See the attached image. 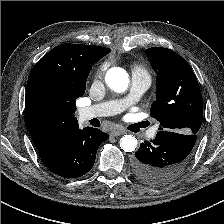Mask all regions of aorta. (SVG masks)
<instances>
[{"label":"aorta","mask_w":224,"mask_h":224,"mask_svg":"<svg viewBox=\"0 0 224 224\" xmlns=\"http://www.w3.org/2000/svg\"><path fill=\"white\" fill-rule=\"evenodd\" d=\"M106 84L115 92H124L129 85L127 72L120 67L110 68L105 76ZM121 149L132 152L137 147V139L133 135H124L120 140Z\"/></svg>","instance_id":"1"}]
</instances>
